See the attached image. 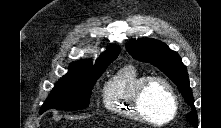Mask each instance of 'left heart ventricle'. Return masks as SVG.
Listing matches in <instances>:
<instances>
[{
    "label": "left heart ventricle",
    "mask_w": 221,
    "mask_h": 128,
    "mask_svg": "<svg viewBox=\"0 0 221 128\" xmlns=\"http://www.w3.org/2000/svg\"><path fill=\"white\" fill-rule=\"evenodd\" d=\"M143 107L151 119L162 123L171 116L172 106L165 88L160 84H153L146 91Z\"/></svg>",
    "instance_id": "b2bd125f"
}]
</instances>
